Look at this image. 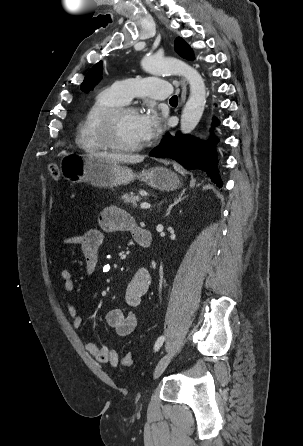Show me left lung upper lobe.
<instances>
[{"mask_svg": "<svg viewBox=\"0 0 303 446\" xmlns=\"http://www.w3.org/2000/svg\"><path fill=\"white\" fill-rule=\"evenodd\" d=\"M175 50L183 58L187 60H193V51L189 45L182 39L177 38L175 40ZM102 61L95 64L89 72L86 74L83 83L81 84V90L89 92L100 81L102 75Z\"/></svg>", "mask_w": 303, "mask_h": 446, "instance_id": "5c2ea615", "label": "left lung upper lobe"}]
</instances>
